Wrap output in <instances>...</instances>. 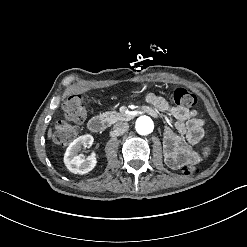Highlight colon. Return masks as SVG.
Listing matches in <instances>:
<instances>
[{"instance_id":"colon-1","label":"colon","mask_w":247,"mask_h":247,"mask_svg":"<svg viewBox=\"0 0 247 247\" xmlns=\"http://www.w3.org/2000/svg\"><path fill=\"white\" fill-rule=\"evenodd\" d=\"M197 104V97L187 92L185 88L178 87L174 91V105L175 106H189L193 107ZM62 111L65 116L64 120L57 123L54 140L57 145L65 146L75 138L77 135V129L72 123L80 124L83 123L87 116L86 104L82 98L73 94L68 96L62 104ZM181 172L185 175H191L195 172L194 166L183 165Z\"/></svg>"}]
</instances>
